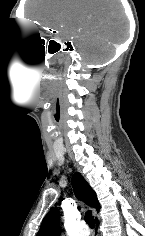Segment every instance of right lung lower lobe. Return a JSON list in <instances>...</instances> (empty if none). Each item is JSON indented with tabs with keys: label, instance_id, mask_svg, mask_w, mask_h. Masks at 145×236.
I'll return each instance as SVG.
<instances>
[{
	"label": "right lung lower lobe",
	"instance_id": "right-lung-lower-lobe-1",
	"mask_svg": "<svg viewBox=\"0 0 145 236\" xmlns=\"http://www.w3.org/2000/svg\"><path fill=\"white\" fill-rule=\"evenodd\" d=\"M96 224H98V220L96 219Z\"/></svg>",
	"mask_w": 145,
	"mask_h": 236
}]
</instances>
